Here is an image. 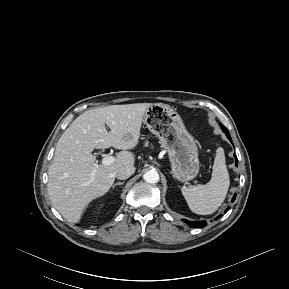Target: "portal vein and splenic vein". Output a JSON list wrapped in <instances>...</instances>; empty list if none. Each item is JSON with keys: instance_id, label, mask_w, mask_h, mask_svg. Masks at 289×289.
I'll use <instances>...</instances> for the list:
<instances>
[{"instance_id": "1", "label": "portal vein and splenic vein", "mask_w": 289, "mask_h": 289, "mask_svg": "<svg viewBox=\"0 0 289 289\" xmlns=\"http://www.w3.org/2000/svg\"><path fill=\"white\" fill-rule=\"evenodd\" d=\"M116 161V158L111 156V155H106L103 159H102V165L107 166V165H111ZM94 175H95V171L92 172L91 174V179H94Z\"/></svg>"}]
</instances>
